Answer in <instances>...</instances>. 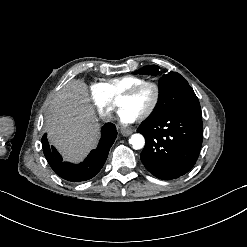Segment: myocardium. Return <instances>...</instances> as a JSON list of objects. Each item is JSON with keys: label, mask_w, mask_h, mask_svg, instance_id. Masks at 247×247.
<instances>
[{"label": "myocardium", "mask_w": 247, "mask_h": 247, "mask_svg": "<svg viewBox=\"0 0 247 247\" xmlns=\"http://www.w3.org/2000/svg\"><path fill=\"white\" fill-rule=\"evenodd\" d=\"M145 88H149L152 91V97H151L149 109L142 115L143 119H148L154 114L159 104L160 95H161L160 87L154 82L146 81L140 83L138 86L127 92V94L136 97Z\"/></svg>", "instance_id": "1"}]
</instances>
